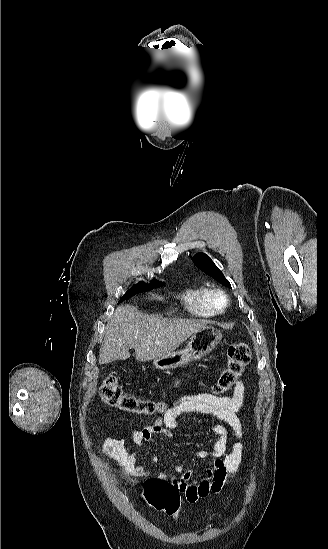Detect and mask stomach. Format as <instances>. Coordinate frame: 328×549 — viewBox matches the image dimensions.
<instances>
[{
    "label": "stomach",
    "instance_id": "stomach-1",
    "mask_svg": "<svg viewBox=\"0 0 328 549\" xmlns=\"http://www.w3.org/2000/svg\"><path fill=\"white\" fill-rule=\"evenodd\" d=\"M221 339L222 333L218 329H214V327L208 325V327H203V329H199V331L193 333L190 341L187 343L186 349L158 357V359H154L153 365L155 369H160V371H169V369L184 367V365H188L192 361H198V359H202L208 353H212Z\"/></svg>",
    "mask_w": 328,
    "mask_h": 549
}]
</instances>
